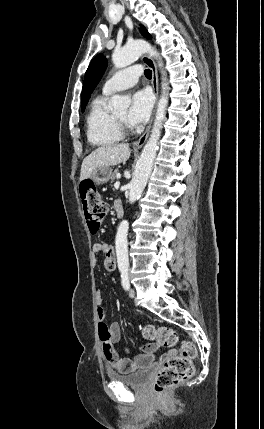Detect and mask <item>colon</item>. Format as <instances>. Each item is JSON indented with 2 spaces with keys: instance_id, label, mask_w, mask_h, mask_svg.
<instances>
[{
  "instance_id": "1",
  "label": "colon",
  "mask_w": 264,
  "mask_h": 429,
  "mask_svg": "<svg viewBox=\"0 0 264 429\" xmlns=\"http://www.w3.org/2000/svg\"><path fill=\"white\" fill-rule=\"evenodd\" d=\"M79 191L87 224L90 231L95 233L107 214L108 205L90 181H83ZM142 334L158 346L171 348L179 345V353L169 354L156 375L153 388L157 395L166 393L192 375V359L196 356V348L191 342L181 341L177 332L169 327L146 325L142 327ZM105 352L108 359L113 358L110 343L106 344Z\"/></svg>"
}]
</instances>
